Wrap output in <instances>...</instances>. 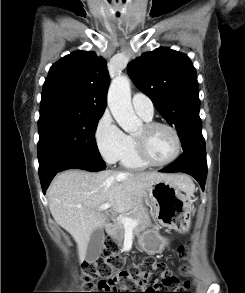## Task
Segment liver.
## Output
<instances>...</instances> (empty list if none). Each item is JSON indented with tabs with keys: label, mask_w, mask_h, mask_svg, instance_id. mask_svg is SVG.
Masks as SVG:
<instances>
[{
	"label": "liver",
	"mask_w": 245,
	"mask_h": 293,
	"mask_svg": "<svg viewBox=\"0 0 245 293\" xmlns=\"http://www.w3.org/2000/svg\"><path fill=\"white\" fill-rule=\"evenodd\" d=\"M163 180L173 181L188 194L194 187L181 174L68 170L59 174L47 190L49 209L57 224L74 238L82 262L92 232L107 225L108 213L105 215L99 207L110 203L111 210L119 213L143 210L147 189Z\"/></svg>",
	"instance_id": "6515ba94"
}]
</instances>
